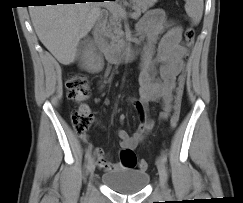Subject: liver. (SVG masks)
Segmentation results:
<instances>
[{
  "label": "liver",
  "instance_id": "6515ba94",
  "mask_svg": "<svg viewBox=\"0 0 243 203\" xmlns=\"http://www.w3.org/2000/svg\"><path fill=\"white\" fill-rule=\"evenodd\" d=\"M100 2L31 6L30 17L39 40L64 65L73 63L80 40L100 16Z\"/></svg>",
  "mask_w": 243,
  "mask_h": 203
}]
</instances>
